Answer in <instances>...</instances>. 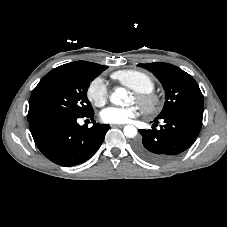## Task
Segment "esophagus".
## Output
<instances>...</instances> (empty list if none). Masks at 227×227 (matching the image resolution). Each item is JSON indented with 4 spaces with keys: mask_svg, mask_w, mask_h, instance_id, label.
<instances>
[{
    "mask_svg": "<svg viewBox=\"0 0 227 227\" xmlns=\"http://www.w3.org/2000/svg\"><path fill=\"white\" fill-rule=\"evenodd\" d=\"M124 125H121V124H114V125H112V127H123Z\"/></svg>",
    "mask_w": 227,
    "mask_h": 227,
    "instance_id": "34e87169",
    "label": "esophagus"
}]
</instances>
